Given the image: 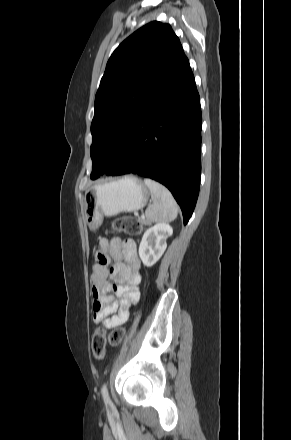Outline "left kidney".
<instances>
[{
    "instance_id": "left-kidney-1",
    "label": "left kidney",
    "mask_w": 291,
    "mask_h": 440,
    "mask_svg": "<svg viewBox=\"0 0 291 440\" xmlns=\"http://www.w3.org/2000/svg\"><path fill=\"white\" fill-rule=\"evenodd\" d=\"M173 233L172 227L165 222L148 228L139 245V256L147 267L153 266L166 250V240Z\"/></svg>"
}]
</instances>
